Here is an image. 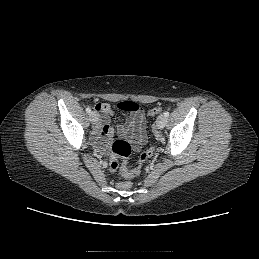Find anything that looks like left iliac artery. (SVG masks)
I'll return each mask as SVG.
<instances>
[{"mask_svg":"<svg viewBox=\"0 0 259 259\" xmlns=\"http://www.w3.org/2000/svg\"><path fill=\"white\" fill-rule=\"evenodd\" d=\"M164 116H165V117H168V116H169V112H168V111H165V112H164Z\"/></svg>","mask_w":259,"mask_h":259,"instance_id":"1","label":"left iliac artery"}]
</instances>
